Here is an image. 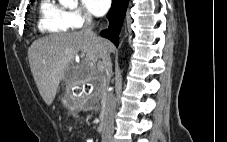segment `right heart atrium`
Listing matches in <instances>:
<instances>
[{
    "label": "right heart atrium",
    "mask_w": 227,
    "mask_h": 142,
    "mask_svg": "<svg viewBox=\"0 0 227 142\" xmlns=\"http://www.w3.org/2000/svg\"><path fill=\"white\" fill-rule=\"evenodd\" d=\"M68 19L73 28H79L89 21L90 17L81 9L68 11Z\"/></svg>",
    "instance_id": "right-heart-atrium-1"
}]
</instances>
